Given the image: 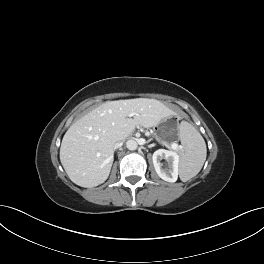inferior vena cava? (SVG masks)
I'll return each mask as SVG.
<instances>
[{
	"label": "inferior vena cava",
	"instance_id": "1",
	"mask_svg": "<svg viewBox=\"0 0 264 264\" xmlns=\"http://www.w3.org/2000/svg\"><path fill=\"white\" fill-rule=\"evenodd\" d=\"M120 146H122V140H118L117 142H115L114 144V149L119 148Z\"/></svg>",
	"mask_w": 264,
	"mask_h": 264
}]
</instances>
